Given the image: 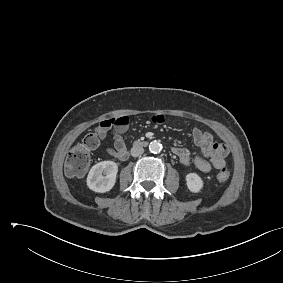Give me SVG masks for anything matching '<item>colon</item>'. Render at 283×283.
Masks as SVG:
<instances>
[{
  "mask_svg": "<svg viewBox=\"0 0 283 283\" xmlns=\"http://www.w3.org/2000/svg\"><path fill=\"white\" fill-rule=\"evenodd\" d=\"M99 129L87 134L83 140L75 145L66 157V171L70 176H81L89 168L91 153L99 146ZM216 178L219 182H226L230 178V172L226 168L220 169Z\"/></svg>",
  "mask_w": 283,
  "mask_h": 283,
  "instance_id": "colon-1",
  "label": "colon"
}]
</instances>
